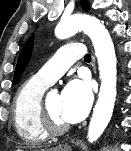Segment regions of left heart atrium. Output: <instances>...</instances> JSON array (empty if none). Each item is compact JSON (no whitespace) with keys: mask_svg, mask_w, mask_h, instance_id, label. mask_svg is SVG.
I'll return each instance as SVG.
<instances>
[{"mask_svg":"<svg viewBox=\"0 0 131 151\" xmlns=\"http://www.w3.org/2000/svg\"><path fill=\"white\" fill-rule=\"evenodd\" d=\"M93 100L92 87L86 79L71 80L61 93V116L67 123L81 121Z\"/></svg>","mask_w":131,"mask_h":151,"instance_id":"left-heart-atrium-1","label":"left heart atrium"}]
</instances>
